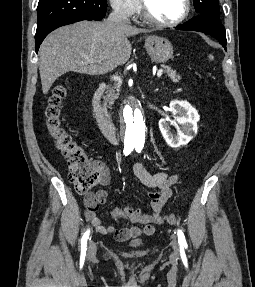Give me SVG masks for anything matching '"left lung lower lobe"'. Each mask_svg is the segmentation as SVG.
<instances>
[{"mask_svg": "<svg viewBox=\"0 0 255 287\" xmlns=\"http://www.w3.org/2000/svg\"><path fill=\"white\" fill-rule=\"evenodd\" d=\"M178 30L199 31L216 38L226 50V33L219 18L200 14L188 22L176 27Z\"/></svg>", "mask_w": 255, "mask_h": 287, "instance_id": "obj_1", "label": "left lung lower lobe"}]
</instances>
